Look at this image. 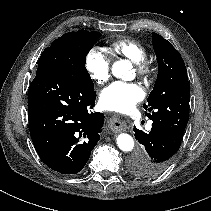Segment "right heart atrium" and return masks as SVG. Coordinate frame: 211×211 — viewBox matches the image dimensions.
Returning <instances> with one entry per match:
<instances>
[{"label": "right heart atrium", "instance_id": "d8ad5b80", "mask_svg": "<svg viewBox=\"0 0 211 211\" xmlns=\"http://www.w3.org/2000/svg\"><path fill=\"white\" fill-rule=\"evenodd\" d=\"M85 67L90 78L98 85L106 83L110 78V60L97 48L86 54Z\"/></svg>", "mask_w": 211, "mask_h": 211}]
</instances>
